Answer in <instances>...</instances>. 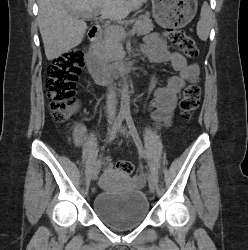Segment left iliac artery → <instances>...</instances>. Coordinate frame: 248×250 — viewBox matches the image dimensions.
Returning <instances> with one entry per match:
<instances>
[{
  "label": "left iliac artery",
  "instance_id": "1",
  "mask_svg": "<svg viewBox=\"0 0 248 250\" xmlns=\"http://www.w3.org/2000/svg\"><path fill=\"white\" fill-rule=\"evenodd\" d=\"M125 119H126V123H127V125H128V128H129V130H130V133H131V135H132V137H133V139H134V142H135V144H136V146H137V149H138V151H139V154H140L142 157L146 158V152H145V150H144L142 141H141V139H140L139 133H138V131H137V129H136V126H135V124H134L133 118H132V116H131V114H130L129 112H127V113L125 114Z\"/></svg>",
  "mask_w": 248,
  "mask_h": 250
}]
</instances>
